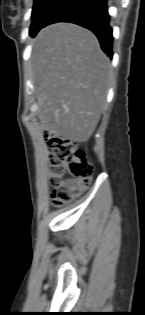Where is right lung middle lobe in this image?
I'll use <instances>...</instances> for the list:
<instances>
[{
    "mask_svg": "<svg viewBox=\"0 0 145 315\" xmlns=\"http://www.w3.org/2000/svg\"><path fill=\"white\" fill-rule=\"evenodd\" d=\"M66 0H34L32 24L29 30L35 36L43 24L55 13Z\"/></svg>",
    "mask_w": 145,
    "mask_h": 315,
    "instance_id": "1",
    "label": "right lung middle lobe"
}]
</instances>
